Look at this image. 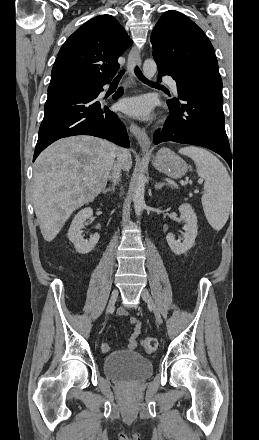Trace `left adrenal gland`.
Returning a JSON list of instances; mask_svg holds the SVG:
<instances>
[{
	"label": "left adrenal gland",
	"mask_w": 259,
	"mask_h": 440,
	"mask_svg": "<svg viewBox=\"0 0 259 440\" xmlns=\"http://www.w3.org/2000/svg\"><path fill=\"white\" fill-rule=\"evenodd\" d=\"M167 185H168L167 183H164V182H158V183L155 184V189L159 190V189H161L163 186H167Z\"/></svg>",
	"instance_id": "left-adrenal-gland-1"
}]
</instances>
